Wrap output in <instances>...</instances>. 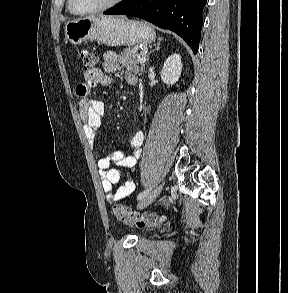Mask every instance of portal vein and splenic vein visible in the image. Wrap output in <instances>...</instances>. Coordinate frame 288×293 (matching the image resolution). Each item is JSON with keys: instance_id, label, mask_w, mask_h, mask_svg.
Segmentation results:
<instances>
[{"instance_id": "portal-vein-and-splenic-vein-1", "label": "portal vein and splenic vein", "mask_w": 288, "mask_h": 293, "mask_svg": "<svg viewBox=\"0 0 288 293\" xmlns=\"http://www.w3.org/2000/svg\"><path fill=\"white\" fill-rule=\"evenodd\" d=\"M138 61H140L141 63H145L146 62V56L144 55V53H141L140 55L137 56Z\"/></svg>"}]
</instances>
